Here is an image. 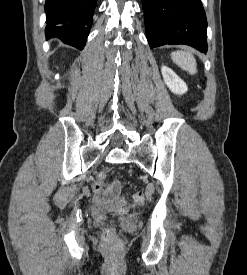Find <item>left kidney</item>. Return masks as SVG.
Listing matches in <instances>:
<instances>
[{
  "label": "left kidney",
  "mask_w": 247,
  "mask_h": 275,
  "mask_svg": "<svg viewBox=\"0 0 247 275\" xmlns=\"http://www.w3.org/2000/svg\"><path fill=\"white\" fill-rule=\"evenodd\" d=\"M162 76L167 87L177 95H182L187 92L188 87L186 83L178 77V75L169 67L162 66Z\"/></svg>",
  "instance_id": "5707ae66"
}]
</instances>
